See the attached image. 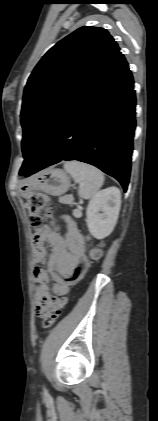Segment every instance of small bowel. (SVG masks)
<instances>
[{
    "label": "small bowel",
    "mask_w": 158,
    "mask_h": 421,
    "mask_svg": "<svg viewBox=\"0 0 158 421\" xmlns=\"http://www.w3.org/2000/svg\"><path fill=\"white\" fill-rule=\"evenodd\" d=\"M67 231L61 236L49 227H42L35 236L33 250L35 300L38 313L57 305V297L69 293L70 286L76 283L89 267L85 254V239L76 222L69 216L63 217ZM47 266V270L45 269ZM54 280L50 293V276Z\"/></svg>",
    "instance_id": "c3829d8e"
}]
</instances>
